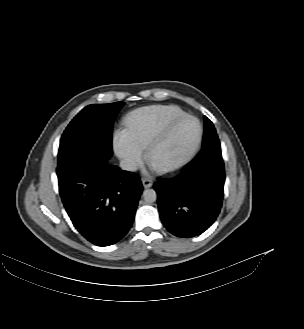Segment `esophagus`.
<instances>
[{
  "instance_id": "esophagus-1",
  "label": "esophagus",
  "mask_w": 304,
  "mask_h": 329,
  "mask_svg": "<svg viewBox=\"0 0 304 329\" xmlns=\"http://www.w3.org/2000/svg\"><path fill=\"white\" fill-rule=\"evenodd\" d=\"M142 184L145 189L150 188L153 185V181L149 178H142Z\"/></svg>"
}]
</instances>
